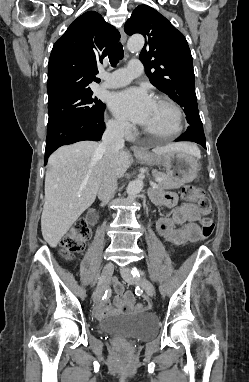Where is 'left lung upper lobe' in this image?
I'll use <instances>...</instances> for the list:
<instances>
[{
	"label": "left lung upper lobe",
	"mask_w": 249,
	"mask_h": 382,
	"mask_svg": "<svg viewBox=\"0 0 249 382\" xmlns=\"http://www.w3.org/2000/svg\"><path fill=\"white\" fill-rule=\"evenodd\" d=\"M124 30L128 35L140 33L145 37L139 58L150 82L184 109L189 127L203 128L195 94L192 56L183 34L147 5L134 9Z\"/></svg>",
	"instance_id": "5c2ea615"
}]
</instances>
